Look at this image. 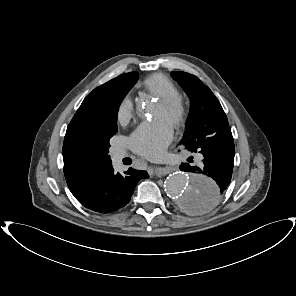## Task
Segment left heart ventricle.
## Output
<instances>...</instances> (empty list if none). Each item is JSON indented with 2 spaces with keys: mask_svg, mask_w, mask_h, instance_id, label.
Masks as SVG:
<instances>
[{
  "mask_svg": "<svg viewBox=\"0 0 296 296\" xmlns=\"http://www.w3.org/2000/svg\"><path fill=\"white\" fill-rule=\"evenodd\" d=\"M154 117L155 118H163L165 120H167L168 122H170V119L165 111V109L163 108V106L159 103L155 112H154Z\"/></svg>",
  "mask_w": 296,
  "mask_h": 296,
  "instance_id": "b2bd125f",
  "label": "left heart ventricle"
}]
</instances>
